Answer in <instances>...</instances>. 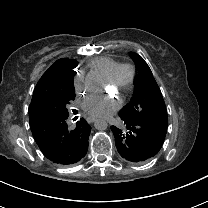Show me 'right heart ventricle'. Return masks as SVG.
<instances>
[{
    "label": "right heart ventricle",
    "mask_w": 208,
    "mask_h": 208,
    "mask_svg": "<svg viewBox=\"0 0 208 208\" xmlns=\"http://www.w3.org/2000/svg\"><path fill=\"white\" fill-rule=\"evenodd\" d=\"M88 65L90 68L101 72L104 77H107L116 69L119 63L110 57L102 56L91 59Z\"/></svg>",
    "instance_id": "e07e8e85"
}]
</instances>
